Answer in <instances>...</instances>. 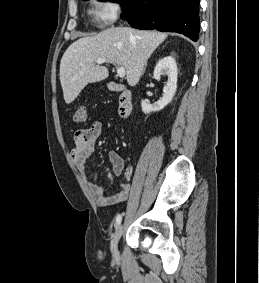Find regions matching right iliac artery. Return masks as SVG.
Masks as SVG:
<instances>
[{"mask_svg":"<svg viewBox=\"0 0 259 283\" xmlns=\"http://www.w3.org/2000/svg\"><path fill=\"white\" fill-rule=\"evenodd\" d=\"M121 221H122V215L118 214L116 217V227L120 225Z\"/></svg>","mask_w":259,"mask_h":283,"instance_id":"82829eb1","label":"right iliac artery"}]
</instances>
